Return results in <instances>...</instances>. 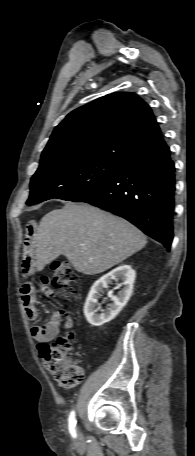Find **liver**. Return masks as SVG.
<instances>
[{"label": "liver", "instance_id": "obj_1", "mask_svg": "<svg viewBox=\"0 0 195 456\" xmlns=\"http://www.w3.org/2000/svg\"><path fill=\"white\" fill-rule=\"evenodd\" d=\"M36 240L38 271L62 254L76 271L86 275L110 269L147 243L145 235L125 219L75 203L47 213Z\"/></svg>", "mask_w": 195, "mask_h": 456}]
</instances>
